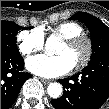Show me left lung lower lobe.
Masks as SVG:
<instances>
[{
    "mask_svg": "<svg viewBox=\"0 0 109 109\" xmlns=\"http://www.w3.org/2000/svg\"><path fill=\"white\" fill-rule=\"evenodd\" d=\"M58 81L65 90L63 96L52 99L55 109H99L109 97V54L91 59L82 72ZM74 87L80 88L81 97L71 104L65 96Z\"/></svg>",
    "mask_w": 109,
    "mask_h": 109,
    "instance_id": "obj_1",
    "label": "left lung lower lobe"
}]
</instances>
